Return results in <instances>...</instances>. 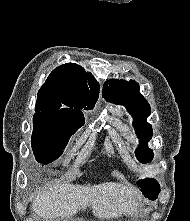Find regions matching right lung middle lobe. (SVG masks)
Here are the masks:
<instances>
[{
  "mask_svg": "<svg viewBox=\"0 0 190 221\" xmlns=\"http://www.w3.org/2000/svg\"><path fill=\"white\" fill-rule=\"evenodd\" d=\"M59 118L33 117L32 149L36 160L48 164L59 158L69 138L84 124Z\"/></svg>",
  "mask_w": 190,
  "mask_h": 221,
  "instance_id": "right-lung-middle-lobe-1",
  "label": "right lung middle lobe"
}]
</instances>
